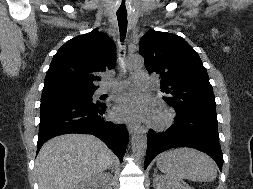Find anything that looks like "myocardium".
Segmentation results:
<instances>
[{
    "mask_svg": "<svg viewBox=\"0 0 253 189\" xmlns=\"http://www.w3.org/2000/svg\"><path fill=\"white\" fill-rule=\"evenodd\" d=\"M175 118L173 109L166 105H159L152 115L150 124L156 130H165L173 125Z\"/></svg>",
    "mask_w": 253,
    "mask_h": 189,
    "instance_id": "myocardium-1",
    "label": "myocardium"
}]
</instances>
